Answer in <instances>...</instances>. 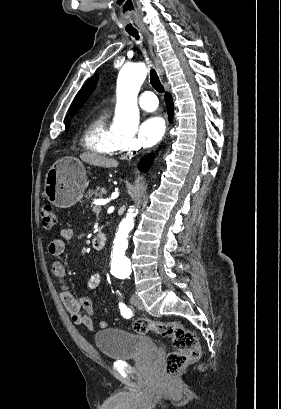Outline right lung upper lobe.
Returning <instances> with one entry per match:
<instances>
[{
    "label": "right lung upper lobe",
    "instance_id": "cb5924a9",
    "mask_svg": "<svg viewBox=\"0 0 281 409\" xmlns=\"http://www.w3.org/2000/svg\"><path fill=\"white\" fill-rule=\"evenodd\" d=\"M66 125H69V123H68V118H67V123H66Z\"/></svg>",
    "mask_w": 281,
    "mask_h": 409
}]
</instances>
